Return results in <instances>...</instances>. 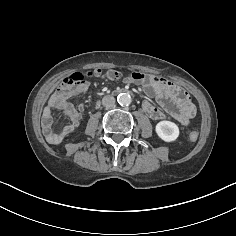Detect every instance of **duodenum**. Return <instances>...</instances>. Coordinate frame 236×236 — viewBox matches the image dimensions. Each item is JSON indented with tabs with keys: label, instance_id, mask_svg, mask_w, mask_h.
Instances as JSON below:
<instances>
[{
	"label": "duodenum",
	"instance_id": "obj_1",
	"mask_svg": "<svg viewBox=\"0 0 236 236\" xmlns=\"http://www.w3.org/2000/svg\"><path fill=\"white\" fill-rule=\"evenodd\" d=\"M123 91H125L124 89H121L119 92H123Z\"/></svg>",
	"mask_w": 236,
	"mask_h": 236
}]
</instances>
